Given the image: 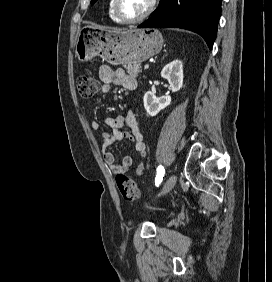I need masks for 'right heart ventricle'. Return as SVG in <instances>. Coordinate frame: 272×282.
<instances>
[{
	"label": "right heart ventricle",
	"mask_w": 272,
	"mask_h": 282,
	"mask_svg": "<svg viewBox=\"0 0 272 282\" xmlns=\"http://www.w3.org/2000/svg\"><path fill=\"white\" fill-rule=\"evenodd\" d=\"M109 15H110V17H111V19H112L113 21H115V22H117V23H123V21L120 20V19L115 15V13H114V10H113V8H112V0H111L110 3H109Z\"/></svg>",
	"instance_id": "obj_1"
}]
</instances>
